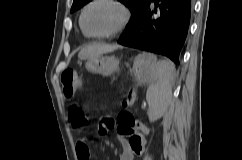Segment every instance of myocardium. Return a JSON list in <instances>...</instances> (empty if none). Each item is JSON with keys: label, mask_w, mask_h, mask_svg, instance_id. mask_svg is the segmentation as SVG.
<instances>
[{"label": "myocardium", "mask_w": 242, "mask_h": 160, "mask_svg": "<svg viewBox=\"0 0 242 160\" xmlns=\"http://www.w3.org/2000/svg\"><path fill=\"white\" fill-rule=\"evenodd\" d=\"M98 3H110V4H113L116 7H118L121 10V12H122V21H121L120 25L117 28L113 29L112 31L104 33V34H93V33H90L86 29L85 24H84V17H85V14H86L87 10L91 6H93L95 4H98ZM130 19H131V12H130L128 6L122 0H91L82 9L81 14H80L79 22H80V27H81L82 31L84 32V34L86 36H88L90 38H94V39H107V38L114 37V36H116L118 34H121L127 28L128 24L130 22Z\"/></svg>", "instance_id": "f54148a6"}]
</instances>
